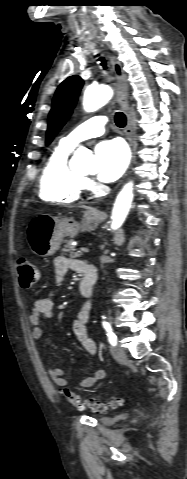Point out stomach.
Here are the masks:
<instances>
[{"label": "stomach", "mask_w": 187, "mask_h": 479, "mask_svg": "<svg viewBox=\"0 0 187 479\" xmlns=\"http://www.w3.org/2000/svg\"><path fill=\"white\" fill-rule=\"evenodd\" d=\"M99 220V214L92 209L84 212L80 223L69 218L59 219L50 214H39L27 226V240L35 254L47 257L59 249L64 236L94 230Z\"/></svg>", "instance_id": "0dacf381"}]
</instances>
